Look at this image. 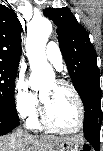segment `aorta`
<instances>
[{
    "label": "aorta",
    "mask_w": 103,
    "mask_h": 151,
    "mask_svg": "<svg viewBox=\"0 0 103 151\" xmlns=\"http://www.w3.org/2000/svg\"><path fill=\"white\" fill-rule=\"evenodd\" d=\"M51 32L52 24L46 18L34 19L27 26L26 51L33 75L50 70L45 48Z\"/></svg>",
    "instance_id": "762f6f07"
}]
</instances>
